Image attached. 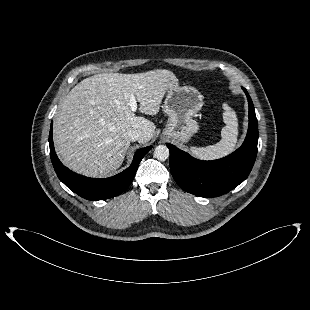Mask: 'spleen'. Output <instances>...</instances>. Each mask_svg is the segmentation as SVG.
<instances>
[{
	"mask_svg": "<svg viewBox=\"0 0 310 310\" xmlns=\"http://www.w3.org/2000/svg\"><path fill=\"white\" fill-rule=\"evenodd\" d=\"M223 108L225 110L223 113L225 127L221 130L222 139L215 145L191 147L190 152L195 157L203 160H213L222 158L234 150L238 136V119L236 113L228 104L225 103Z\"/></svg>",
	"mask_w": 310,
	"mask_h": 310,
	"instance_id": "obj_1",
	"label": "spleen"
}]
</instances>
